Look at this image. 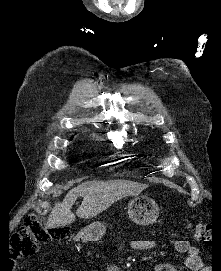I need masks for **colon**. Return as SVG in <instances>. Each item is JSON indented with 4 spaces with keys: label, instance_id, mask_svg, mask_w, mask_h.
<instances>
[{
    "label": "colon",
    "instance_id": "5ec220e1",
    "mask_svg": "<svg viewBox=\"0 0 221 271\" xmlns=\"http://www.w3.org/2000/svg\"><path fill=\"white\" fill-rule=\"evenodd\" d=\"M43 217L31 212L24 217L23 224L16 230L10 239L11 257L22 260L33 254L39 244L56 241L67 234L66 227H47L43 224ZM195 239L203 244L212 241V233L205 223L194 226Z\"/></svg>",
    "mask_w": 221,
    "mask_h": 271
}]
</instances>
